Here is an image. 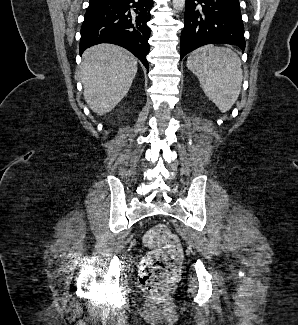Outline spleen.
Here are the masks:
<instances>
[{
	"mask_svg": "<svg viewBox=\"0 0 298 325\" xmlns=\"http://www.w3.org/2000/svg\"><path fill=\"white\" fill-rule=\"evenodd\" d=\"M187 68L196 74L202 90L221 112L233 106L243 78L241 60L234 50L206 44L189 54Z\"/></svg>",
	"mask_w": 298,
	"mask_h": 325,
	"instance_id": "obj_1",
	"label": "spleen"
}]
</instances>
